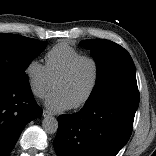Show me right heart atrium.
Here are the masks:
<instances>
[{"mask_svg":"<svg viewBox=\"0 0 156 156\" xmlns=\"http://www.w3.org/2000/svg\"><path fill=\"white\" fill-rule=\"evenodd\" d=\"M24 75L32 94L37 98H43L53 87V81L49 78L45 65L38 60H30Z\"/></svg>","mask_w":156,"mask_h":156,"instance_id":"d8ad5b80","label":"right heart atrium"}]
</instances>
